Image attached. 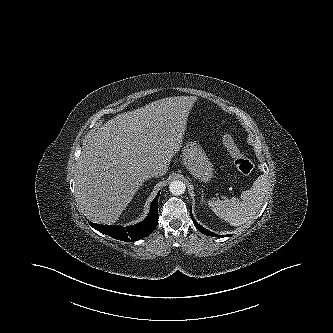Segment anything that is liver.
<instances>
[{"label": "liver", "mask_w": 333, "mask_h": 333, "mask_svg": "<svg viewBox=\"0 0 333 333\" xmlns=\"http://www.w3.org/2000/svg\"><path fill=\"white\" fill-rule=\"evenodd\" d=\"M194 96L163 98L107 121L83 146L75 177L80 210L91 221L113 224L148 172L164 175L180 150Z\"/></svg>", "instance_id": "obj_1"}]
</instances>
